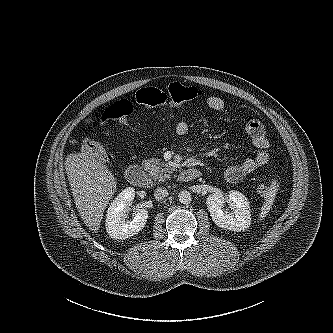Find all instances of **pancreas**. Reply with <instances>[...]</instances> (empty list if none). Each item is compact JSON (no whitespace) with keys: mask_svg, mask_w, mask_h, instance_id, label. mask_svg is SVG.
I'll return each mask as SVG.
<instances>
[{"mask_svg":"<svg viewBox=\"0 0 333 333\" xmlns=\"http://www.w3.org/2000/svg\"><path fill=\"white\" fill-rule=\"evenodd\" d=\"M144 169L153 177L155 181L164 182L170 178V174L175 170L174 167L169 166L166 163L160 162L159 159H148L145 160Z\"/></svg>","mask_w":333,"mask_h":333,"instance_id":"obj_1","label":"pancreas"}]
</instances>
